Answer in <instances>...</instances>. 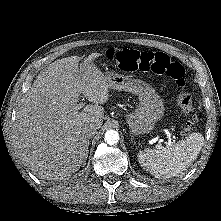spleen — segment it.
Masks as SVG:
<instances>
[{"instance_id":"obj_1","label":"spleen","mask_w":221,"mask_h":221,"mask_svg":"<svg viewBox=\"0 0 221 221\" xmlns=\"http://www.w3.org/2000/svg\"><path fill=\"white\" fill-rule=\"evenodd\" d=\"M204 137L201 133H192L185 139L166 147L161 145L138 153V161L156 178L177 176L197 158Z\"/></svg>"}]
</instances>
